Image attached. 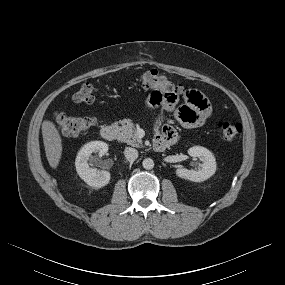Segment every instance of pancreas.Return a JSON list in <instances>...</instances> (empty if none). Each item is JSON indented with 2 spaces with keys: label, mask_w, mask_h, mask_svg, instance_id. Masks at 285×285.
Segmentation results:
<instances>
[{
  "label": "pancreas",
  "mask_w": 285,
  "mask_h": 285,
  "mask_svg": "<svg viewBox=\"0 0 285 285\" xmlns=\"http://www.w3.org/2000/svg\"><path fill=\"white\" fill-rule=\"evenodd\" d=\"M119 123L121 126H118V123H114V126L119 130L118 139L128 145L142 147V140L138 139L135 135V128L131 120L124 119L119 121Z\"/></svg>",
  "instance_id": "1"
}]
</instances>
